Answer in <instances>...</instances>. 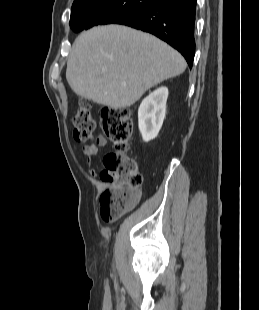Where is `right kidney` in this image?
Here are the masks:
<instances>
[{"mask_svg":"<svg viewBox=\"0 0 259 310\" xmlns=\"http://www.w3.org/2000/svg\"><path fill=\"white\" fill-rule=\"evenodd\" d=\"M168 88L160 87L150 93L138 109L139 130L145 142L157 137L166 113Z\"/></svg>","mask_w":259,"mask_h":310,"instance_id":"obj_1","label":"right kidney"}]
</instances>
